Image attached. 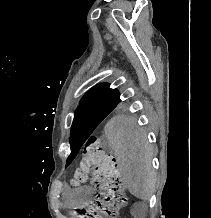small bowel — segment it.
Instances as JSON below:
<instances>
[{"label": "small bowel", "instance_id": "small-bowel-1", "mask_svg": "<svg viewBox=\"0 0 211 218\" xmlns=\"http://www.w3.org/2000/svg\"><path fill=\"white\" fill-rule=\"evenodd\" d=\"M93 194L94 191L89 186L79 188L66 187L63 191V198L66 205L70 207H79L87 204Z\"/></svg>", "mask_w": 211, "mask_h": 218}]
</instances>
